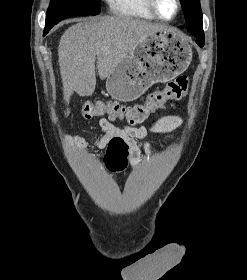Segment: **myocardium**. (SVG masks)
<instances>
[{"label":"myocardium","instance_id":"myocardium-1","mask_svg":"<svg viewBox=\"0 0 247 280\" xmlns=\"http://www.w3.org/2000/svg\"><path fill=\"white\" fill-rule=\"evenodd\" d=\"M175 2H176V11H175V14L173 15V17L164 18L159 14V12L157 10L156 1L155 0H147L148 7H149L150 11L153 13V15L157 19L162 20V21H166V22L174 20L178 16V14L181 10V1L180 0H175Z\"/></svg>","mask_w":247,"mask_h":280}]
</instances>
